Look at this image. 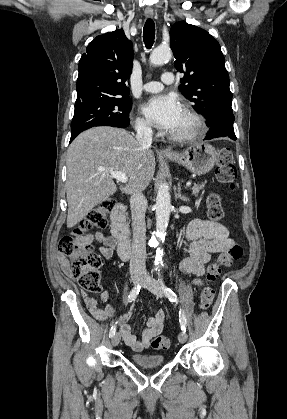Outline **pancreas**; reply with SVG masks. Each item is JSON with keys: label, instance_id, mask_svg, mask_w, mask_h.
<instances>
[{"label": "pancreas", "instance_id": "obj_1", "mask_svg": "<svg viewBox=\"0 0 287 419\" xmlns=\"http://www.w3.org/2000/svg\"><path fill=\"white\" fill-rule=\"evenodd\" d=\"M204 188V184H194L192 186V194L197 196L201 189Z\"/></svg>", "mask_w": 287, "mask_h": 419}]
</instances>
